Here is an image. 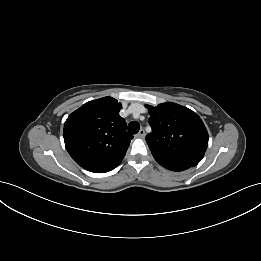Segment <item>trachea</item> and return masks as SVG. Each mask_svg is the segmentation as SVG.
I'll use <instances>...</instances> for the list:
<instances>
[{"mask_svg":"<svg viewBox=\"0 0 261 261\" xmlns=\"http://www.w3.org/2000/svg\"><path fill=\"white\" fill-rule=\"evenodd\" d=\"M139 129H140V125H139V123L136 122V121H132V122H130L129 125H128V131H129V133H131V134H136V133H138Z\"/></svg>","mask_w":261,"mask_h":261,"instance_id":"1","label":"trachea"}]
</instances>
